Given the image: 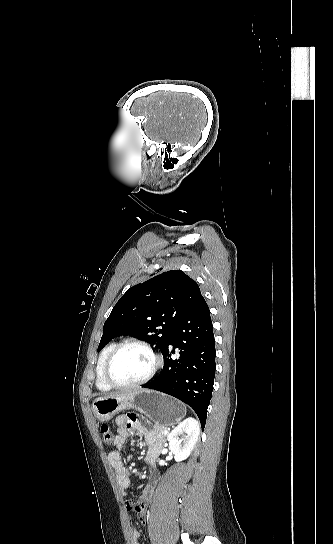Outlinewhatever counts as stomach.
Returning a JSON list of instances; mask_svg holds the SVG:
<instances>
[{
  "label": "stomach",
  "mask_w": 333,
  "mask_h": 544,
  "mask_svg": "<svg viewBox=\"0 0 333 544\" xmlns=\"http://www.w3.org/2000/svg\"><path fill=\"white\" fill-rule=\"evenodd\" d=\"M100 422L109 421L121 411L134 409L147 416L157 426L165 428L176 424L184 416V407L174 398L151 390H135L118 396L97 398L92 404Z\"/></svg>",
  "instance_id": "obj_1"
}]
</instances>
